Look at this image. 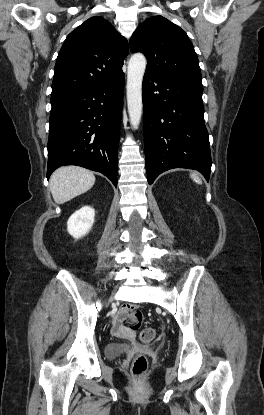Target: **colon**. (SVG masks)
<instances>
[{
	"label": "colon",
	"mask_w": 264,
	"mask_h": 415,
	"mask_svg": "<svg viewBox=\"0 0 264 415\" xmlns=\"http://www.w3.org/2000/svg\"><path fill=\"white\" fill-rule=\"evenodd\" d=\"M129 311L131 312L129 324L132 328H136V326L141 323L143 319L142 311L137 307H130ZM141 340L143 342H151L155 337V331L152 328H146L141 332ZM148 368V359L144 355H138L133 361L132 372L134 377L140 381L146 374Z\"/></svg>",
	"instance_id": "1"
}]
</instances>
